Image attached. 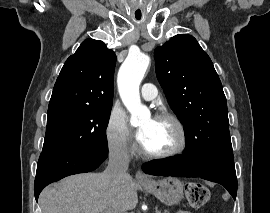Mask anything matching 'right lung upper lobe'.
<instances>
[{
	"label": "right lung upper lobe",
	"mask_w": 270,
	"mask_h": 213,
	"mask_svg": "<svg viewBox=\"0 0 270 213\" xmlns=\"http://www.w3.org/2000/svg\"><path fill=\"white\" fill-rule=\"evenodd\" d=\"M115 53L104 42L86 39L65 62L49 108L112 107Z\"/></svg>",
	"instance_id": "cb5924a9"
}]
</instances>
